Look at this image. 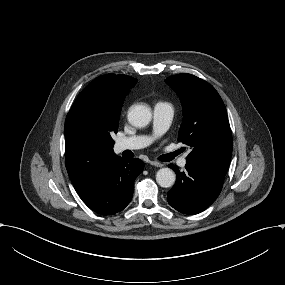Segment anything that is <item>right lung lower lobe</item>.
I'll return each mask as SVG.
<instances>
[{"label":"right lung lower lobe","mask_w":285,"mask_h":285,"mask_svg":"<svg viewBox=\"0 0 285 285\" xmlns=\"http://www.w3.org/2000/svg\"><path fill=\"white\" fill-rule=\"evenodd\" d=\"M143 168L140 159L118 157L78 194L92 211L101 215L115 214L129 204L134 181Z\"/></svg>","instance_id":"98d812e1"}]
</instances>
